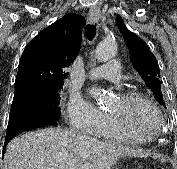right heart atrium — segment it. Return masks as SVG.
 I'll return each instance as SVG.
<instances>
[{"label": "right heart atrium", "mask_w": 177, "mask_h": 169, "mask_svg": "<svg viewBox=\"0 0 177 169\" xmlns=\"http://www.w3.org/2000/svg\"><path fill=\"white\" fill-rule=\"evenodd\" d=\"M67 118L76 130L89 134L103 125L106 116L79 94L74 93L68 103Z\"/></svg>", "instance_id": "d8ad5b80"}]
</instances>
